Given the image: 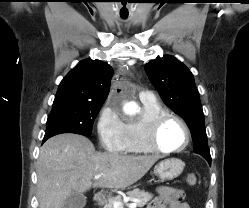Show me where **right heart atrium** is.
Segmentation results:
<instances>
[{
	"mask_svg": "<svg viewBox=\"0 0 249 208\" xmlns=\"http://www.w3.org/2000/svg\"><path fill=\"white\" fill-rule=\"evenodd\" d=\"M125 122L118 109L105 105L98 117L97 133L102 147L112 153H123L125 143Z\"/></svg>",
	"mask_w": 249,
	"mask_h": 208,
	"instance_id": "1",
	"label": "right heart atrium"
}]
</instances>
